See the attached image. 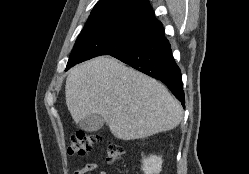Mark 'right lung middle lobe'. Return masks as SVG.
<instances>
[{
  "mask_svg": "<svg viewBox=\"0 0 249 174\" xmlns=\"http://www.w3.org/2000/svg\"><path fill=\"white\" fill-rule=\"evenodd\" d=\"M150 27L118 24L99 30H83L69 57L66 71L72 66L100 55H113L145 39Z\"/></svg>",
  "mask_w": 249,
  "mask_h": 174,
  "instance_id": "1",
  "label": "right lung middle lobe"
}]
</instances>
